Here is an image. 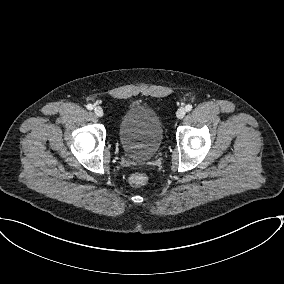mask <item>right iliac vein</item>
Returning <instances> with one entry per match:
<instances>
[{
    "instance_id": "1",
    "label": "right iliac vein",
    "mask_w": 284,
    "mask_h": 284,
    "mask_svg": "<svg viewBox=\"0 0 284 284\" xmlns=\"http://www.w3.org/2000/svg\"><path fill=\"white\" fill-rule=\"evenodd\" d=\"M94 113L98 117H102L104 115L103 109L101 107H95Z\"/></svg>"
}]
</instances>
